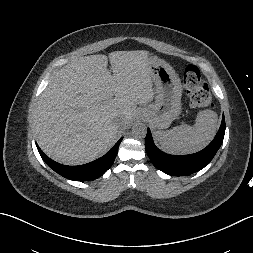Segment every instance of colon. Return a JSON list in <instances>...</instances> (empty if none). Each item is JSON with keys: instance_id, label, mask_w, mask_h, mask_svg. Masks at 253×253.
<instances>
[{"instance_id": "obj_1", "label": "colon", "mask_w": 253, "mask_h": 253, "mask_svg": "<svg viewBox=\"0 0 253 253\" xmlns=\"http://www.w3.org/2000/svg\"><path fill=\"white\" fill-rule=\"evenodd\" d=\"M183 85L193 108L203 109L213 105L207 83L198 67L188 65L184 71Z\"/></svg>"}]
</instances>
